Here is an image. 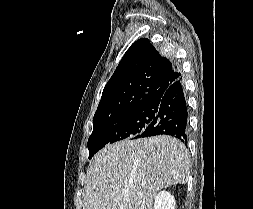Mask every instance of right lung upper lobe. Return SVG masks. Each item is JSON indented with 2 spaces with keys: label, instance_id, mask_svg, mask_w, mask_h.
<instances>
[{
  "label": "right lung upper lobe",
  "instance_id": "1",
  "mask_svg": "<svg viewBox=\"0 0 253 209\" xmlns=\"http://www.w3.org/2000/svg\"><path fill=\"white\" fill-rule=\"evenodd\" d=\"M180 76L174 63L162 57L148 39L137 40L107 82L93 120L154 103Z\"/></svg>",
  "mask_w": 253,
  "mask_h": 209
}]
</instances>
